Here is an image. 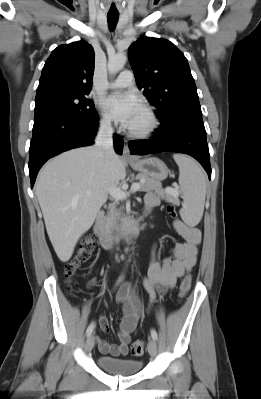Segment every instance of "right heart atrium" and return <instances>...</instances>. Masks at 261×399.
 Wrapping results in <instances>:
<instances>
[{
    "label": "right heart atrium",
    "instance_id": "right-heart-atrium-1",
    "mask_svg": "<svg viewBox=\"0 0 261 399\" xmlns=\"http://www.w3.org/2000/svg\"><path fill=\"white\" fill-rule=\"evenodd\" d=\"M100 128L104 131H111L112 130V123L111 120L107 116H102L100 119Z\"/></svg>",
    "mask_w": 261,
    "mask_h": 399
}]
</instances>
